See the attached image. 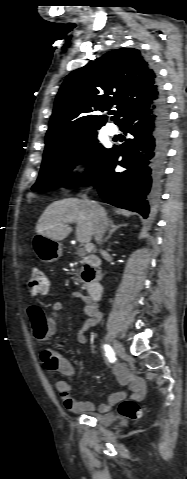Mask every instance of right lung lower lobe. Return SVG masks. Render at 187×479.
Here are the masks:
<instances>
[{
  "mask_svg": "<svg viewBox=\"0 0 187 479\" xmlns=\"http://www.w3.org/2000/svg\"><path fill=\"white\" fill-rule=\"evenodd\" d=\"M119 126L131 138L119 148L110 149L103 164L81 184L93 185L109 204L147 218L159 198L170 135L163 94L149 107H139L126 115ZM117 164L126 170L116 172Z\"/></svg>",
  "mask_w": 187,
  "mask_h": 479,
  "instance_id": "98d812e1",
  "label": "right lung lower lobe"
}]
</instances>
